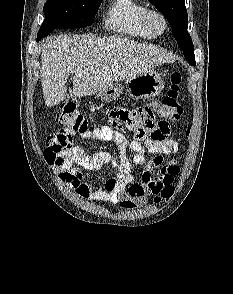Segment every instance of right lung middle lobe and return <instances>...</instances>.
<instances>
[{
	"mask_svg": "<svg viewBox=\"0 0 233 294\" xmlns=\"http://www.w3.org/2000/svg\"><path fill=\"white\" fill-rule=\"evenodd\" d=\"M102 0H47L43 11L45 20L37 41L55 29H74L88 26Z\"/></svg>",
	"mask_w": 233,
	"mask_h": 294,
	"instance_id": "1",
	"label": "right lung middle lobe"
}]
</instances>
